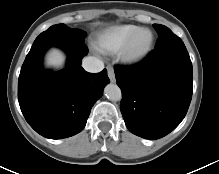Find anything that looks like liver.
Returning <instances> with one entry per match:
<instances>
[{
    "label": "liver",
    "instance_id": "liver-1",
    "mask_svg": "<svg viewBox=\"0 0 219 174\" xmlns=\"http://www.w3.org/2000/svg\"><path fill=\"white\" fill-rule=\"evenodd\" d=\"M64 56L58 50H52L47 55V64L54 67H61L64 63Z\"/></svg>",
    "mask_w": 219,
    "mask_h": 174
}]
</instances>
